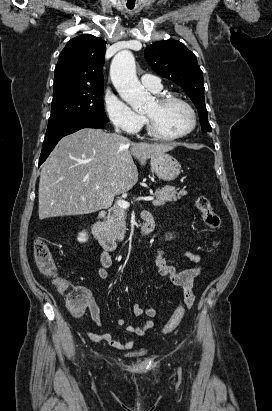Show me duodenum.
<instances>
[{
    "label": "duodenum",
    "mask_w": 272,
    "mask_h": 411,
    "mask_svg": "<svg viewBox=\"0 0 272 411\" xmlns=\"http://www.w3.org/2000/svg\"><path fill=\"white\" fill-rule=\"evenodd\" d=\"M105 215V212H101L93 221L91 225V232L102 248L107 252H111L116 250L117 243L114 237L104 228L103 219L105 218ZM154 227L155 224L152 217L148 216L141 227V236L144 237L149 235L154 230Z\"/></svg>",
    "instance_id": "obj_1"
}]
</instances>
